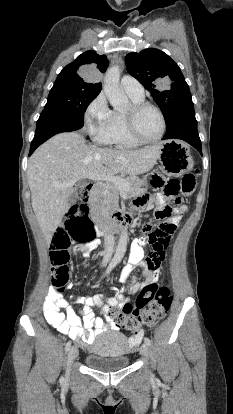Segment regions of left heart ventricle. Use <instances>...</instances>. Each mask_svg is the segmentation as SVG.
Listing matches in <instances>:
<instances>
[{
  "label": "left heart ventricle",
  "mask_w": 233,
  "mask_h": 414,
  "mask_svg": "<svg viewBox=\"0 0 233 414\" xmlns=\"http://www.w3.org/2000/svg\"><path fill=\"white\" fill-rule=\"evenodd\" d=\"M136 124L138 131L146 139L156 138L162 128L158 112L151 108L145 109L137 116Z\"/></svg>",
  "instance_id": "obj_1"
}]
</instances>
